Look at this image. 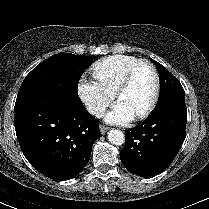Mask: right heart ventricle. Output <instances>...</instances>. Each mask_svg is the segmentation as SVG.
I'll return each mask as SVG.
<instances>
[{
  "label": "right heart ventricle",
  "mask_w": 209,
  "mask_h": 209,
  "mask_svg": "<svg viewBox=\"0 0 209 209\" xmlns=\"http://www.w3.org/2000/svg\"><path fill=\"white\" fill-rule=\"evenodd\" d=\"M139 59L130 55H113L93 65L92 73L109 91L115 92L127 70Z\"/></svg>",
  "instance_id": "obj_1"
}]
</instances>
